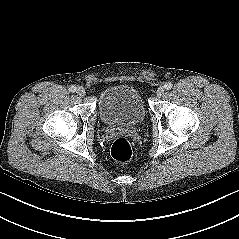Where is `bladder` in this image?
<instances>
[{"mask_svg": "<svg viewBox=\"0 0 239 239\" xmlns=\"http://www.w3.org/2000/svg\"><path fill=\"white\" fill-rule=\"evenodd\" d=\"M99 115L107 126H135L145 117V106L140 92L129 85H113L99 96Z\"/></svg>", "mask_w": 239, "mask_h": 239, "instance_id": "31cf9c89", "label": "bladder"}]
</instances>
